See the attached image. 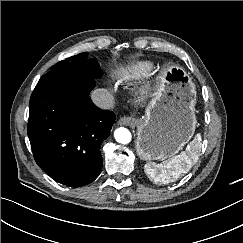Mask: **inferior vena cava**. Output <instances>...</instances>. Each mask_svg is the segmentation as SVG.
Segmentation results:
<instances>
[{
	"label": "inferior vena cava",
	"mask_w": 243,
	"mask_h": 243,
	"mask_svg": "<svg viewBox=\"0 0 243 243\" xmlns=\"http://www.w3.org/2000/svg\"><path fill=\"white\" fill-rule=\"evenodd\" d=\"M93 103L101 109H111L114 106V97L106 89H96L91 93Z\"/></svg>",
	"instance_id": "602c4592"
}]
</instances>
